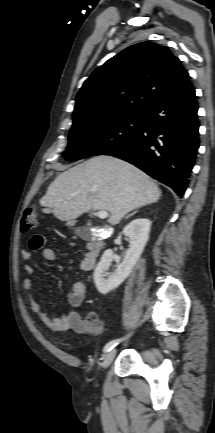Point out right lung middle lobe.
<instances>
[{
  "label": "right lung middle lobe",
  "instance_id": "1",
  "mask_svg": "<svg viewBox=\"0 0 215 433\" xmlns=\"http://www.w3.org/2000/svg\"><path fill=\"white\" fill-rule=\"evenodd\" d=\"M143 115L120 116L93 123L73 124L69 144L63 157L68 161L79 160L128 144L139 134Z\"/></svg>",
  "mask_w": 215,
  "mask_h": 433
}]
</instances>
